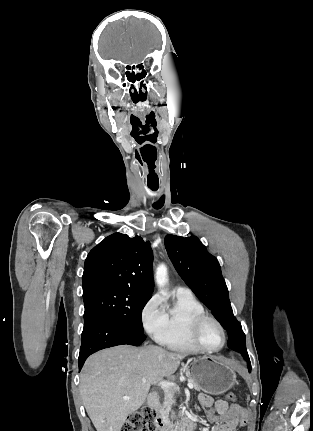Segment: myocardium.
I'll return each mask as SVG.
<instances>
[{
	"label": "myocardium",
	"mask_w": 313,
	"mask_h": 431,
	"mask_svg": "<svg viewBox=\"0 0 313 431\" xmlns=\"http://www.w3.org/2000/svg\"><path fill=\"white\" fill-rule=\"evenodd\" d=\"M208 321L213 322L219 328V330L221 332L222 342H221L220 346L217 348H208V347L204 346L199 339L200 330H201L202 326ZM189 336H190L191 342L199 350H202L205 352H218V351H220L221 349L224 348V346L226 344V340H227L225 329L222 326V324L220 323V321L218 319H216L214 316H211V315L206 314V313L200 315L199 317H197L194 320V322L192 323V326L190 328Z\"/></svg>",
	"instance_id": "1"
}]
</instances>
